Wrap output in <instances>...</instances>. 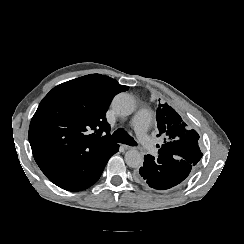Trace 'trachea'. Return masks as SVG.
Returning a JSON list of instances; mask_svg holds the SVG:
<instances>
[{"instance_id":"1","label":"trachea","mask_w":244,"mask_h":244,"mask_svg":"<svg viewBox=\"0 0 244 244\" xmlns=\"http://www.w3.org/2000/svg\"><path fill=\"white\" fill-rule=\"evenodd\" d=\"M112 141L134 146L136 142L123 129L116 130L112 135Z\"/></svg>"}]
</instances>
